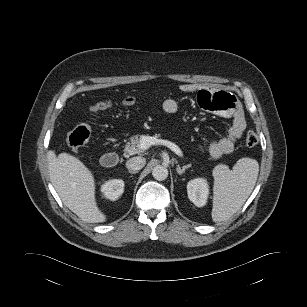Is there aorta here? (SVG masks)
Listing matches in <instances>:
<instances>
[{
  "mask_svg": "<svg viewBox=\"0 0 307 307\" xmlns=\"http://www.w3.org/2000/svg\"><path fill=\"white\" fill-rule=\"evenodd\" d=\"M152 175L156 180L162 181L168 177V170L162 165H157L153 168Z\"/></svg>",
  "mask_w": 307,
  "mask_h": 307,
  "instance_id": "1",
  "label": "aorta"
}]
</instances>
